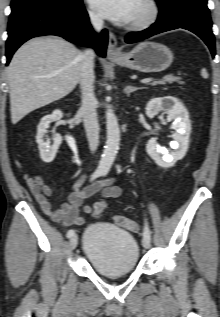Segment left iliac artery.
I'll use <instances>...</instances> for the list:
<instances>
[{
	"label": "left iliac artery",
	"instance_id": "44dca946",
	"mask_svg": "<svg viewBox=\"0 0 220 317\" xmlns=\"http://www.w3.org/2000/svg\"><path fill=\"white\" fill-rule=\"evenodd\" d=\"M106 174L107 172H103V175H106ZM143 237L149 241L151 240V234H150L147 223L145 224V227H144Z\"/></svg>",
	"mask_w": 220,
	"mask_h": 317
}]
</instances>
